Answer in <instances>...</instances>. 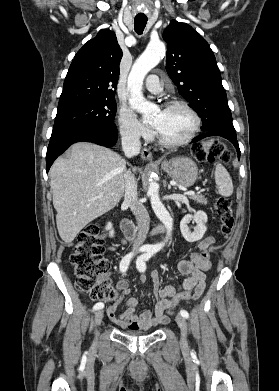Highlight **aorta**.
<instances>
[{"label":"aorta","mask_w":279,"mask_h":391,"mask_svg":"<svg viewBox=\"0 0 279 391\" xmlns=\"http://www.w3.org/2000/svg\"><path fill=\"white\" fill-rule=\"evenodd\" d=\"M164 55L165 45L163 42L159 41L149 43L145 51L133 64L128 77V88L131 91L129 104L132 109L136 110L142 115L143 119H148L156 110V106L153 103L148 102L143 97L141 91L143 80L147 73L159 63ZM147 194L150 197V203L154 213L167 229L165 240L153 246L155 250H160L165 246L168 239L171 237L173 221L170 213L167 211L160 200L159 186L153 180L152 174L149 178Z\"/></svg>","instance_id":"obj_1"}]
</instances>
